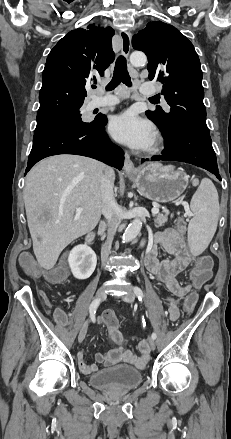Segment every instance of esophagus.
I'll list each match as a JSON object with an SVG mask.
<instances>
[{"instance_id":"34e87169","label":"esophagus","mask_w":231,"mask_h":439,"mask_svg":"<svg viewBox=\"0 0 231 439\" xmlns=\"http://www.w3.org/2000/svg\"><path fill=\"white\" fill-rule=\"evenodd\" d=\"M120 38L122 44L121 53L123 56L128 57L131 49V33L126 30H121ZM123 169L126 173H131L136 170L134 163L132 162L128 152H125V161H124Z\"/></svg>"}]
</instances>
